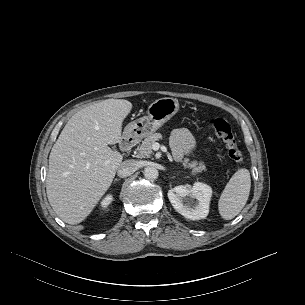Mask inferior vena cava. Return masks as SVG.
Wrapping results in <instances>:
<instances>
[{
    "label": "inferior vena cava",
    "instance_id": "602c4592",
    "mask_svg": "<svg viewBox=\"0 0 305 305\" xmlns=\"http://www.w3.org/2000/svg\"><path fill=\"white\" fill-rule=\"evenodd\" d=\"M137 168V162L135 160H125L120 164L117 174L121 178L128 177L133 174Z\"/></svg>",
    "mask_w": 305,
    "mask_h": 305
}]
</instances>
